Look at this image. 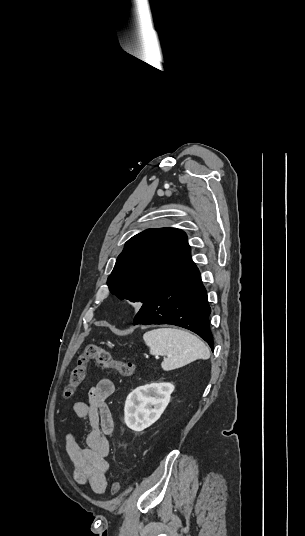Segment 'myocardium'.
Returning a JSON list of instances; mask_svg holds the SVG:
<instances>
[{"label": "myocardium", "mask_w": 305, "mask_h": 536, "mask_svg": "<svg viewBox=\"0 0 305 536\" xmlns=\"http://www.w3.org/2000/svg\"><path fill=\"white\" fill-rule=\"evenodd\" d=\"M132 303L130 301H127V306L130 307Z\"/></svg>", "instance_id": "1"}]
</instances>
